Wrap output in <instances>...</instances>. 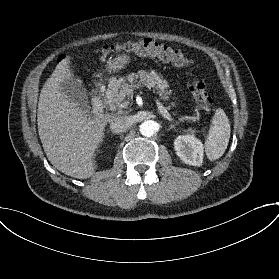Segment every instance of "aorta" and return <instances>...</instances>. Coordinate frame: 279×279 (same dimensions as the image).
I'll use <instances>...</instances> for the list:
<instances>
[{
    "mask_svg": "<svg viewBox=\"0 0 279 279\" xmlns=\"http://www.w3.org/2000/svg\"><path fill=\"white\" fill-rule=\"evenodd\" d=\"M139 129L142 135L150 137L159 130V124L153 120H146Z\"/></svg>",
    "mask_w": 279,
    "mask_h": 279,
    "instance_id": "762f6f07",
    "label": "aorta"
}]
</instances>
